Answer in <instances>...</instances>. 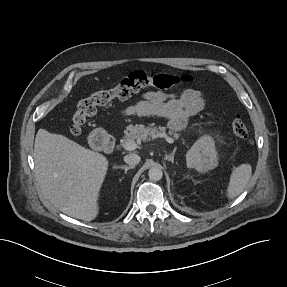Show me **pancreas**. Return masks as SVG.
I'll use <instances>...</instances> for the list:
<instances>
[{
    "label": "pancreas",
    "mask_w": 287,
    "mask_h": 287,
    "mask_svg": "<svg viewBox=\"0 0 287 287\" xmlns=\"http://www.w3.org/2000/svg\"><path fill=\"white\" fill-rule=\"evenodd\" d=\"M166 133L165 127H145L143 124L129 125L125 130V138L123 144L134 141V140H154L158 137H162ZM169 135L173 136L175 139H179V134L169 130Z\"/></svg>",
    "instance_id": "obj_1"
}]
</instances>
